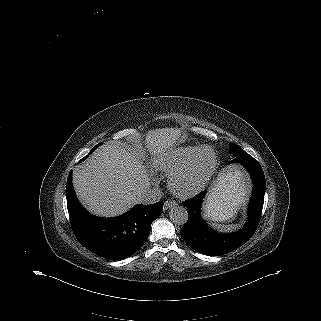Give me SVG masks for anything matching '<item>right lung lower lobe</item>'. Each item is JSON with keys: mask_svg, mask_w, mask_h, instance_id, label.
<instances>
[{"mask_svg": "<svg viewBox=\"0 0 321 321\" xmlns=\"http://www.w3.org/2000/svg\"><path fill=\"white\" fill-rule=\"evenodd\" d=\"M67 208L71 227L78 241L93 253L109 259L123 260L136 253L147 240L151 223L163 211V202L136 205L114 218L90 214L79 203L72 184V171L66 186Z\"/></svg>", "mask_w": 321, "mask_h": 321, "instance_id": "right-lung-lower-lobe-1", "label": "right lung lower lobe"}]
</instances>
